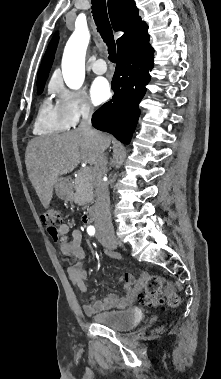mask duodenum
Masks as SVG:
<instances>
[{
  "label": "duodenum",
  "mask_w": 221,
  "mask_h": 379,
  "mask_svg": "<svg viewBox=\"0 0 221 379\" xmlns=\"http://www.w3.org/2000/svg\"><path fill=\"white\" fill-rule=\"evenodd\" d=\"M98 215H99V206L97 204H93L86 210L83 220L86 223H93L97 220Z\"/></svg>",
  "instance_id": "410a0bca"
}]
</instances>
